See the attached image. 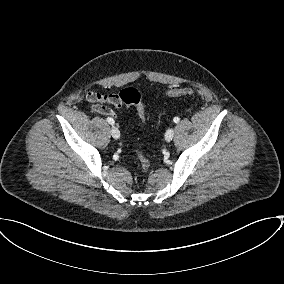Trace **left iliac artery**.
Wrapping results in <instances>:
<instances>
[{"label":"left iliac artery","mask_w":284,"mask_h":284,"mask_svg":"<svg viewBox=\"0 0 284 284\" xmlns=\"http://www.w3.org/2000/svg\"><path fill=\"white\" fill-rule=\"evenodd\" d=\"M173 121H174L175 123H178V122L180 121V119H179V117H175V118L173 119Z\"/></svg>","instance_id":"1"}]
</instances>
